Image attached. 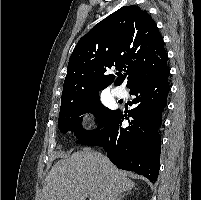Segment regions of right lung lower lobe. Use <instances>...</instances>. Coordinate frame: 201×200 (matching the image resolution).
<instances>
[{
    "label": "right lung lower lobe",
    "mask_w": 201,
    "mask_h": 200,
    "mask_svg": "<svg viewBox=\"0 0 201 200\" xmlns=\"http://www.w3.org/2000/svg\"><path fill=\"white\" fill-rule=\"evenodd\" d=\"M169 69L143 80L130 88L136 97L128 112L129 126L122 127L124 115L116 110L97 130L77 140L83 145L102 146L108 158L118 168L134 171L155 182L160 169L162 112L167 105L170 90Z\"/></svg>",
    "instance_id": "right-lung-lower-lobe-1"
}]
</instances>
